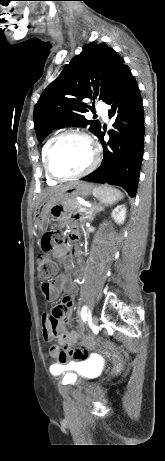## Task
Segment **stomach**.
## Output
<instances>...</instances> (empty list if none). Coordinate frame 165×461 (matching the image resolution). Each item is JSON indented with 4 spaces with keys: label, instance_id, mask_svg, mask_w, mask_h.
<instances>
[{
    "label": "stomach",
    "instance_id": "obj_1",
    "mask_svg": "<svg viewBox=\"0 0 165 461\" xmlns=\"http://www.w3.org/2000/svg\"><path fill=\"white\" fill-rule=\"evenodd\" d=\"M94 186L86 182H71L67 186L61 188L57 192L48 194L41 200L38 211L36 224L39 228H43L48 223V215L53 204H60L67 198L76 196L86 197L95 192Z\"/></svg>",
    "mask_w": 165,
    "mask_h": 461
}]
</instances>
